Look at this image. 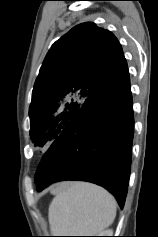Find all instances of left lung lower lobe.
Returning <instances> with one entry per match:
<instances>
[{
  "instance_id": "0a47b994",
  "label": "left lung lower lobe",
  "mask_w": 158,
  "mask_h": 237,
  "mask_svg": "<svg viewBox=\"0 0 158 237\" xmlns=\"http://www.w3.org/2000/svg\"><path fill=\"white\" fill-rule=\"evenodd\" d=\"M134 117L129 74L100 91L70 119L42 159V191L62 180H82L111 192L124 206L131 168Z\"/></svg>"
}]
</instances>
